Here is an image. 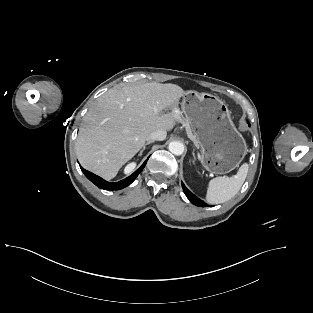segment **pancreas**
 <instances>
[{
	"label": "pancreas",
	"instance_id": "obj_1",
	"mask_svg": "<svg viewBox=\"0 0 313 313\" xmlns=\"http://www.w3.org/2000/svg\"><path fill=\"white\" fill-rule=\"evenodd\" d=\"M181 121H182V123L186 126V130H187L189 136L192 138V140H193V142L195 143V145H197V140H196L195 136L192 134L188 122L186 121V119L182 118V116H181Z\"/></svg>",
	"mask_w": 313,
	"mask_h": 313
}]
</instances>
